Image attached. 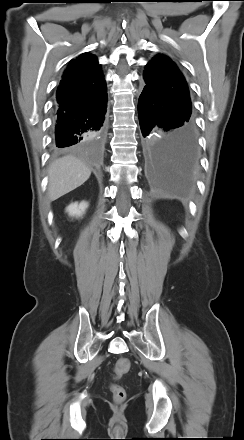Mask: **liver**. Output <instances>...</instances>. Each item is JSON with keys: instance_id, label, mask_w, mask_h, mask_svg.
Returning a JSON list of instances; mask_svg holds the SVG:
<instances>
[{"instance_id": "6515ba94", "label": "liver", "mask_w": 244, "mask_h": 440, "mask_svg": "<svg viewBox=\"0 0 244 440\" xmlns=\"http://www.w3.org/2000/svg\"><path fill=\"white\" fill-rule=\"evenodd\" d=\"M91 169L73 156L55 160L49 167L48 197L54 201L89 179Z\"/></svg>"}]
</instances>
